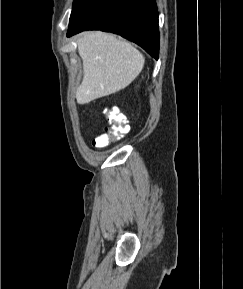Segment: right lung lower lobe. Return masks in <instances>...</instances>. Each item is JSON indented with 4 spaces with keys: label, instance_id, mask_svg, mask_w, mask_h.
I'll list each match as a JSON object with an SVG mask.
<instances>
[{
    "label": "right lung lower lobe",
    "instance_id": "right-lung-lower-lobe-1",
    "mask_svg": "<svg viewBox=\"0 0 243 289\" xmlns=\"http://www.w3.org/2000/svg\"><path fill=\"white\" fill-rule=\"evenodd\" d=\"M84 30L119 34L158 59L156 0H81L70 16L67 36Z\"/></svg>",
    "mask_w": 243,
    "mask_h": 289
}]
</instances>
